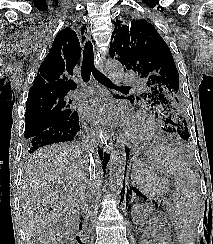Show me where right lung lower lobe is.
Listing matches in <instances>:
<instances>
[{
    "instance_id": "obj_1",
    "label": "right lung lower lobe",
    "mask_w": 213,
    "mask_h": 244,
    "mask_svg": "<svg viewBox=\"0 0 213 244\" xmlns=\"http://www.w3.org/2000/svg\"><path fill=\"white\" fill-rule=\"evenodd\" d=\"M80 129L81 128L79 126V116L77 114L73 119L50 127L49 129L28 140V152L33 153L38 148L46 145L58 142L72 141L77 133L80 131ZM98 151L100 158L103 162V166L105 167V164L108 162L109 156L106 153H103V151Z\"/></svg>"
}]
</instances>
